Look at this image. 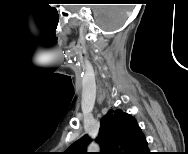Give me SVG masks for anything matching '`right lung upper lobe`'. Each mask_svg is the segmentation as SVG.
Wrapping results in <instances>:
<instances>
[{
    "instance_id": "cb5924a9",
    "label": "right lung upper lobe",
    "mask_w": 188,
    "mask_h": 154,
    "mask_svg": "<svg viewBox=\"0 0 188 154\" xmlns=\"http://www.w3.org/2000/svg\"><path fill=\"white\" fill-rule=\"evenodd\" d=\"M90 138L84 135L67 150L66 154H88ZM97 142L101 154H144L148 144L136 119L122 110H109L100 122Z\"/></svg>"
}]
</instances>
